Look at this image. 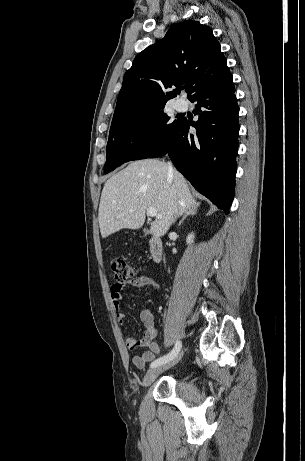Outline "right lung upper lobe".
<instances>
[{"mask_svg": "<svg viewBox=\"0 0 305 461\" xmlns=\"http://www.w3.org/2000/svg\"><path fill=\"white\" fill-rule=\"evenodd\" d=\"M229 73L212 30L198 21L173 25L165 37L136 56L125 73L112 120L115 123L162 107L185 84L188 98Z\"/></svg>", "mask_w": 305, "mask_h": 461, "instance_id": "cb5924a9", "label": "right lung upper lobe"}]
</instances>
